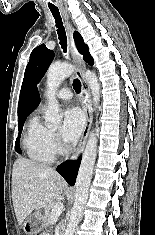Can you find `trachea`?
<instances>
[{
	"label": "trachea",
	"mask_w": 155,
	"mask_h": 235,
	"mask_svg": "<svg viewBox=\"0 0 155 235\" xmlns=\"http://www.w3.org/2000/svg\"><path fill=\"white\" fill-rule=\"evenodd\" d=\"M49 9H50V11H51V13H52V15L55 19L60 45L63 49V52L66 53L67 52V38H66L65 28L63 26V22H62V18H61L59 9L54 8V7H49ZM73 88L76 91V93H80V91H81V82H80L79 79H75L73 81Z\"/></svg>",
	"instance_id": "trachea-1"
}]
</instances>
